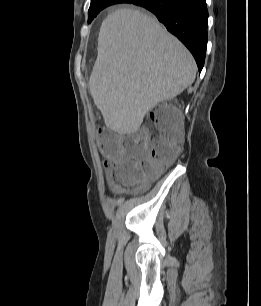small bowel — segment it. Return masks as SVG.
Returning <instances> with one entry per match:
<instances>
[{
  "mask_svg": "<svg viewBox=\"0 0 261 306\" xmlns=\"http://www.w3.org/2000/svg\"><path fill=\"white\" fill-rule=\"evenodd\" d=\"M124 161H126L125 158H121V159H119V160H112V159H109V160L105 161V167H106V169H107V171H108L109 173H113L114 167H115L117 164L122 163V162H124ZM129 163H130L131 165L135 166V167H138V166H139V164H138L137 162H134V161H131V162H129Z\"/></svg>",
  "mask_w": 261,
  "mask_h": 306,
  "instance_id": "c3829d8e",
  "label": "small bowel"
}]
</instances>
